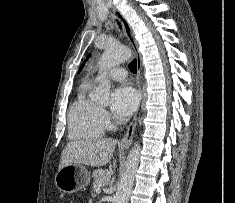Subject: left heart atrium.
Listing matches in <instances>:
<instances>
[{"instance_id":"39dd6f15","label":"left heart atrium","mask_w":235,"mask_h":203,"mask_svg":"<svg viewBox=\"0 0 235 203\" xmlns=\"http://www.w3.org/2000/svg\"><path fill=\"white\" fill-rule=\"evenodd\" d=\"M139 104L138 92L130 86L122 85L112 94L111 110L120 119L129 117Z\"/></svg>"}]
</instances>
